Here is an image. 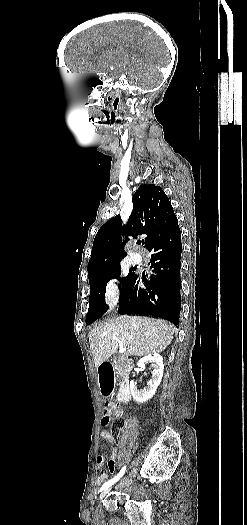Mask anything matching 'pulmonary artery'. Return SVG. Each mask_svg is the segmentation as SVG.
I'll use <instances>...</instances> for the list:
<instances>
[{
    "mask_svg": "<svg viewBox=\"0 0 247 525\" xmlns=\"http://www.w3.org/2000/svg\"><path fill=\"white\" fill-rule=\"evenodd\" d=\"M129 261H142V256L140 252L135 251L130 255Z\"/></svg>",
    "mask_w": 247,
    "mask_h": 525,
    "instance_id": "1",
    "label": "pulmonary artery"
}]
</instances>
